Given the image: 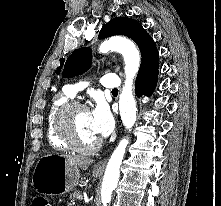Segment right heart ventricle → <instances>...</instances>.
<instances>
[{
    "label": "right heart ventricle",
    "instance_id": "1",
    "mask_svg": "<svg viewBox=\"0 0 221 206\" xmlns=\"http://www.w3.org/2000/svg\"><path fill=\"white\" fill-rule=\"evenodd\" d=\"M72 100V96L68 93L63 92L62 94L57 95L48 110L47 119H46V133L49 144L57 150H69L70 147L61 139L56 129V114L58 109L70 102Z\"/></svg>",
    "mask_w": 221,
    "mask_h": 206
}]
</instances>
